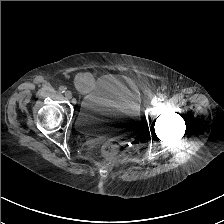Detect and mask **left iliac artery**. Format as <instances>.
<instances>
[{
  "label": "left iliac artery",
  "mask_w": 224,
  "mask_h": 224,
  "mask_svg": "<svg viewBox=\"0 0 224 224\" xmlns=\"http://www.w3.org/2000/svg\"><path fill=\"white\" fill-rule=\"evenodd\" d=\"M166 99V96L164 94H160L158 100L164 101Z\"/></svg>",
  "instance_id": "44dca946"
}]
</instances>
